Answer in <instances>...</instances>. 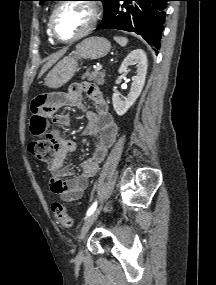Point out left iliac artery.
I'll use <instances>...</instances> for the list:
<instances>
[{
    "instance_id": "44dca946",
    "label": "left iliac artery",
    "mask_w": 216,
    "mask_h": 285,
    "mask_svg": "<svg viewBox=\"0 0 216 285\" xmlns=\"http://www.w3.org/2000/svg\"><path fill=\"white\" fill-rule=\"evenodd\" d=\"M96 207H97V202H94L92 206L88 209L86 215L87 216L91 215L96 210Z\"/></svg>"
}]
</instances>
